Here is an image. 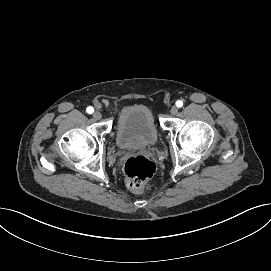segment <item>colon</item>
I'll return each instance as SVG.
<instances>
[{"instance_id":"5ec220e1","label":"colon","mask_w":271,"mask_h":271,"mask_svg":"<svg viewBox=\"0 0 271 271\" xmlns=\"http://www.w3.org/2000/svg\"><path fill=\"white\" fill-rule=\"evenodd\" d=\"M156 165L145 156L130 157L124 165L126 183L130 190L139 192L154 176Z\"/></svg>"}]
</instances>
